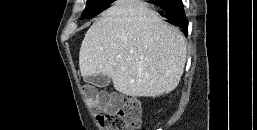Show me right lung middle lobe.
<instances>
[{
    "mask_svg": "<svg viewBox=\"0 0 257 130\" xmlns=\"http://www.w3.org/2000/svg\"><path fill=\"white\" fill-rule=\"evenodd\" d=\"M112 2L111 0H87L81 19L92 18L107 8Z\"/></svg>",
    "mask_w": 257,
    "mask_h": 130,
    "instance_id": "1",
    "label": "right lung middle lobe"
}]
</instances>
